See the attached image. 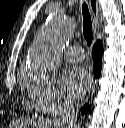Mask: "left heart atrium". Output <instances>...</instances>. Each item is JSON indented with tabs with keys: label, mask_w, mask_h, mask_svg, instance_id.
<instances>
[{
	"label": "left heart atrium",
	"mask_w": 125,
	"mask_h": 128,
	"mask_svg": "<svg viewBox=\"0 0 125 128\" xmlns=\"http://www.w3.org/2000/svg\"><path fill=\"white\" fill-rule=\"evenodd\" d=\"M90 83V74L81 66H71L61 76L62 88L72 97L83 95Z\"/></svg>",
	"instance_id": "left-heart-atrium-1"
}]
</instances>
